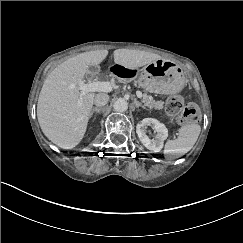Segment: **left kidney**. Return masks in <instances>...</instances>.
I'll return each instance as SVG.
<instances>
[{
    "mask_svg": "<svg viewBox=\"0 0 243 243\" xmlns=\"http://www.w3.org/2000/svg\"><path fill=\"white\" fill-rule=\"evenodd\" d=\"M151 126L156 133L154 138L147 136V129ZM139 140L145 145V147L154 152H159L163 148V142L168 136V131L164 124H161L154 118H145L137 124L136 129Z\"/></svg>",
    "mask_w": 243,
    "mask_h": 243,
    "instance_id": "obj_1",
    "label": "left kidney"
}]
</instances>
